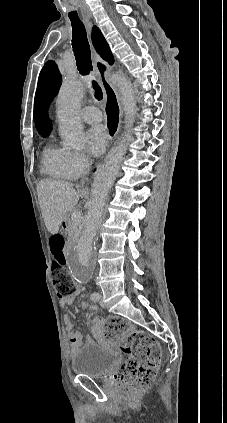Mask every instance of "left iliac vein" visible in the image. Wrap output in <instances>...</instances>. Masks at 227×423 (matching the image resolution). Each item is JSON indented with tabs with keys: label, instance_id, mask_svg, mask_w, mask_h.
<instances>
[{
	"label": "left iliac vein",
	"instance_id": "1",
	"mask_svg": "<svg viewBox=\"0 0 227 423\" xmlns=\"http://www.w3.org/2000/svg\"><path fill=\"white\" fill-rule=\"evenodd\" d=\"M99 303H100V305L102 306V307H105V304L103 303V301H102V295H100V300H99Z\"/></svg>",
	"mask_w": 227,
	"mask_h": 423
}]
</instances>
